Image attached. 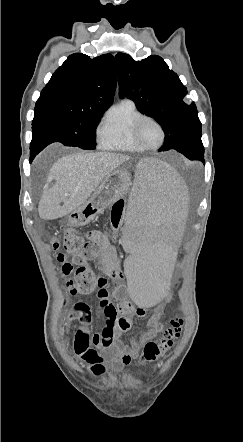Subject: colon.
Wrapping results in <instances>:
<instances>
[{
	"label": "colon",
	"mask_w": 243,
	"mask_h": 442,
	"mask_svg": "<svg viewBox=\"0 0 243 442\" xmlns=\"http://www.w3.org/2000/svg\"><path fill=\"white\" fill-rule=\"evenodd\" d=\"M125 209L124 200L114 203L111 212V225L118 229L123 221ZM54 250L57 252V260L60 263L61 276L66 280V287L71 294L87 295L92 293L98 285V277L88 265L86 257L87 245L77 228L70 227L65 230L61 241L57 238L51 240ZM72 257L73 263L68 261ZM75 265V266H74ZM183 327L182 318H174L162 335L154 341L145 344L141 357H137V366H146L161 357H165L179 339Z\"/></svg>",
	"instance_id": "obj_1"
}]
</instances>
